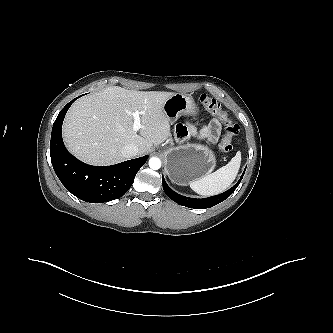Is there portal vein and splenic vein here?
Here are the masks:
<instances>
[{"label":"portal vein and splenic vein","mask_w":333,"mask_h":333,"mask_svg":"<svg viewBox=\"0 0 333 333\" xmlns=\"http://www.w3.org/2000/svg\"><path fill=\"white\" fill-rule=\"evenodd\" d=\"M140 112L139 111H135L133 113V118H134V122H133V130L135 132H137L140 128H141V122H140Z\"/></svg>","instance_id":"1"}]
</instances>
